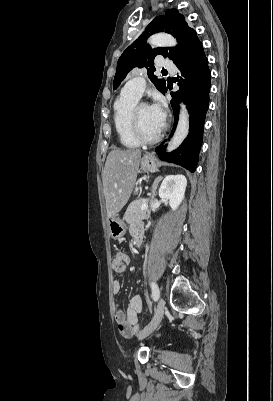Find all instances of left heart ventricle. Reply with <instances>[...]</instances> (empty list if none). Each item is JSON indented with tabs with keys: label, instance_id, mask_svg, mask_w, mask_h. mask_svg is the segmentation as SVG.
Masks as SVG:
<instances>
[{
	"label": "left heart ventricle",
	"instance_id": "obj_1",
	"mask_svg": "<svg viewBox=\"0 0 273 401\" xmlns=\"http://www.w3.org/2000/svg\"><path fill=\"white\" fill-rule=\"evenodd\" d=\"M137 118L141 130L148 136H153L157 134L162 128L154 121L148 107L146 105H141L137 112Z\"/></svg>",
	"mask_w": 273,
	"mask_h": 401
}]
</instances>
